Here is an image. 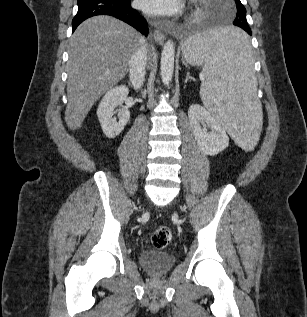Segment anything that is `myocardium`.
<instances>
[{
  "mask_svg": "<svg viewBox=\"0 0 307 317\" xmlns=\"http://www.w3.org/2000/svg\"><path fill=\"white\" fill-rule=\"evenodd\" d=\"M201 15H202V9L196 8V9L192 12L191 17H192L193 19H198L199 17H201Z\"/></svg>",
  "mask_w": 307,
  "mask_h": 317,
  "instance_id": "1",
  "label": "myocardium"
}]
</instances>
